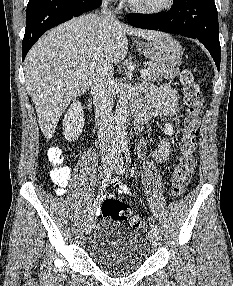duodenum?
I'll list each match as a JSON object with an SVG mask.
<instances>
[{
	"label": "duodenum",
	"instance_id": "410a0bca",
	"mask_svg": "<svg viewBox=\"0 0 233 286\" xmlns=\"http://www.w3.org/2000/svg\"><path fill=\"white\" fill-rule=\"evenodd\" d=\"M133 115L136 122L141 123L146 120L143 111L139 108L137 104L133 105Z\"/></svg>",
	"mask_w": 233,
	"mask_h": 286
}]
</instances>
